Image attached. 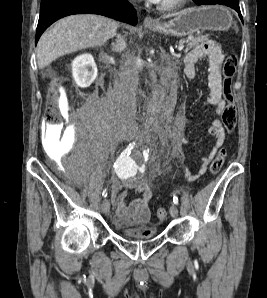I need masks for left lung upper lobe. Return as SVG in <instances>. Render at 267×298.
Returning a JSON list of instances; mask_svg holds the SVG:
<instances>
[{
  "label": "left lung upper lobe",
  "mask_w": 267,
  "mask_h": 298,
  "mask_svg": "<svg viewBox=\"0 0 267 298\" xmlns=\"http://www.w3.org/2000/svg\"><path fill=\"white\" fill-rule=\"evenodd\" d=\"M194 2H200L201 0H193Z\"/></svg>",
  "instance_id": "left-lung-upper-lobe-1"
}]
</instances>
